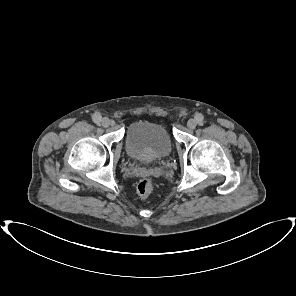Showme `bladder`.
<instances>
[{"label":"bladder","mask_w":296,"mask_h":296,"mask_svg":"<svg viewBox=\"0 0 296 296\" xmlns=\"http://www.w3.org/2000/svg\"><path fill=\"white\" fill-rule=\"evenodd\" d=\"M168 129L156 122L136 121L125 136V150L135 160L150 163L168 156L172 150Z\"/></svg>","instance_id":"31cf9c89"}]
</instances>
